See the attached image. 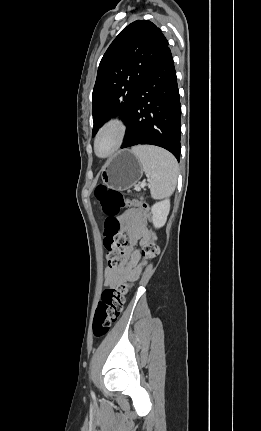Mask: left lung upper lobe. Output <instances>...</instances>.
I'll use <instances>...</instances> for the list:
<instances>
[{"label":"left lung upper lobe","instance_id":"1","mask_svg":"<svg viewBox=\"0 0 261 431\" xmlns=\"http://www.w3.org/2000/svg\"><path fill=\"white\" fill-rule=\"evenodd\" d=\"M168 47L151 21L129 24L111 43L99 64L92 94L93 135L111 116L127 121L134 99L148 71Z\"/></svg>","mask_w":261,"mask_h":431}]
</instances>
